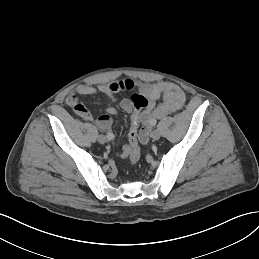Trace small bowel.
Returning a JSON list of instances; mask_svg holds the SVG:
<instances>
[{
  "label": "small bowel",
  "mask_w": 259,
  "mask_h": 259,
  "mask_svg": "<svg viewBox=\"0 0 259 259\" xmlns=\"http://www.w3.org/2000/svg\"><path fill=\"white\" fill-rule=\"evenodd\" d=\"M137 88L141 94L148 99V106L141 114V130L139 132V140L143 145L148 144L150 130L153 126V121L162 118L170 113H173L183 107L186 101V96L183 90L176 84L168 81H159L154 83L139 82L132 79L103 83L97 86L91 84H80L75 91L71 92L66 103L72 107L83 119L93 121L96 126L103 130L109 131L112 127L111 116L117 114V109L114 106L106 108V114L95 117L78 99V95L103 94L107 96L112 103H115V95L121 91ZM163 101L158 103L160 97ZM120 106L126 112H132V103L129 99H124L120 102ZM111 133V132H110ZM121 158L128 156V145H125L120 152Z\"/></svg>",
  "instance_id": "obj_1"
}]
</instances>
